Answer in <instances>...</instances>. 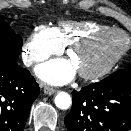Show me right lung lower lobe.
<instances>
[{
  "label": "right lung lower lobe",
  "mask_w": 131,
  "mask_h": 131,
  "mask_svg": "<svg viewBox=\"0 0 131 131\" xmlns=\"http://www.w3.org/2000/svg\"><path fill=\"white\" fill-rule=\"evenodd\" d=\"M39 86L17 62L0 64V131H22Z\"/></svg>",
  "instance_id": "1"
}]
</instances>
